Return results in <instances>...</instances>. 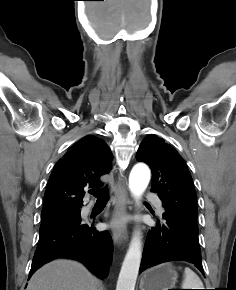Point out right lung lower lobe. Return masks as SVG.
<instances>
[{
    "label": "right lung lower lobe",
    "mask_w": 236,
    "mask_h": 290,
    "mask_svg": "<svg viewBox=\"0 0 236 290\" xmlns=\"http://www.w3.org/2000/svg\"><path fill=\"white\" fill-rule=\"evenodd\" d=\"M113 243L107 231L98 232L93 224L81 221L40 234L29 277L43 264L59 257L82 262L104 279L112 259Z\"/></svg>",
    "instance_id": "obj_1"
}]
</instances>
